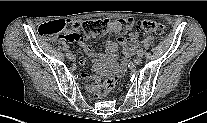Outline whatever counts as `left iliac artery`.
Instances as JSON below:
<instances>
[{
	"label": "left iliac artery",
	"instance_id": "obj_1",
	"mask_svg": "<svg viewBox=\"0 0 207 123\" xmlns=\"http://www.w3.org/2000/svg\"><path fill=\"white\" fill-rule=\"evenodd\" d=\"M137 54L140 55V56H143V54H144L143 49H139L138 52H137Z\"/></svg>",
	"mask_w": 207,
	"mask_h": 123
}]
</instances>
